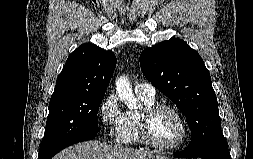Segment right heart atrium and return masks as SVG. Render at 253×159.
I'll return each instance as SVG.
<instances>
[{"label":"right heart atrium","instance_id":"1","mask_svg":"<svg viewBox=\"0 0 253 159\" xmlns=\"http://www.w3.org/2000/svg\"><path fill=\"white\" fill-rule=\"evenodd\" d=\"M99 118L110 139L120 141L125 113L122 111L116 94H107L100 102Z\"/></svg>","mask_w":253,"mask_h":159}]
</instances>
